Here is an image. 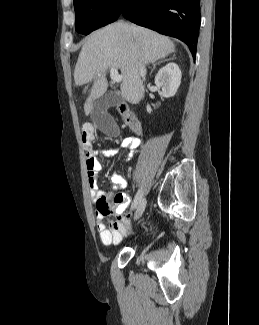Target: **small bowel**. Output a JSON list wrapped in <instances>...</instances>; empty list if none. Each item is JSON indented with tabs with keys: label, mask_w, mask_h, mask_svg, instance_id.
Returning a JSON list of instances; mask_svg holds the SVG:
<instances>
[{
	"label": "small bowel",
	"mask_w": 259,
	"mask_h": 325,
	"mask_svg": "<svg viewBox=\"0 0 259 325\" xmlns=\"http://www.w3.org/2000/svg\"><path fill=\"white\" fill-rule=\"evenodd\" d=\"M140 140L137 137H126L121 143V147L128 151L130 160L137 148ZM118 153L116 148H105L101 150L89 149L86 153V168L89 193L92 201L96 204V229L99 233L100 242L105 246L118 244L123 236L128 232L130 225V215L126 213L129 206L128 196L120 192L127 186L126 179L114 171L111 173L110 180L112 190L105 192L98 186L97 176L102 169L98 157L112 158ZM112 203L115 205L116 219L111 220L107 228L103 222L105 216L112 211Z\"/></svg>",
	"instance_id": "c3829d8e"
}]
</instances>
